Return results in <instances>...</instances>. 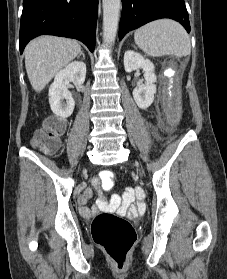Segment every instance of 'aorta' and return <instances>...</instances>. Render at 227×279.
I'll use <instances>...</instances> for the list:
<instances>
[{
	"instance_id": "obj_1",
	"label": "aorta",
	"mask_w": 227,
	"mask_h": 279,
	"mask_svg": "<svg viewBox=\"0 0 227 279\" xmlns=\"http://www.w3.org/2000/svg\"><path fill=\"white\" fill-rule=\"evenodd\" d=\"M121 0H103V38L112 44L115 41Z\"/></svg>"
}]
</instances>
